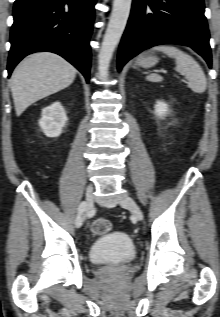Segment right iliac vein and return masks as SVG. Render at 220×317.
<instances>
[{"label": "right iliac vein", "mask_w": 220, "mask_h": 317, "mask_svg": "<svg viewBox=\"0 0 220 317\" xmlns=\"http://www.w3.org/2000/svg\"><path fill=\"white\" fill-rule=\"evenodd\" d=\"M93 206V186L89 184L86 188V198H85V212L86 215L92 209Z\"/></svg>", "instance_id": "obj_1"}]
</instances>
